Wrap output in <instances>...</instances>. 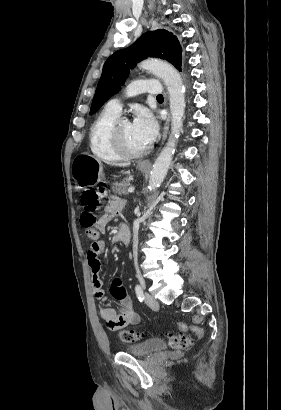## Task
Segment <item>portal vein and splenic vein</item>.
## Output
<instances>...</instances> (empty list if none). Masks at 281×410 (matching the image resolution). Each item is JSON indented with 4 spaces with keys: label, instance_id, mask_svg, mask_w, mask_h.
Returning a JSON list of instances; mask_svg holds the SVG:
<instances>
[{
    "label": "portal vein and splenic vein",
    "instance_id": "obj_1",
    "mask_svg": "<svg viewBox=\"0 0 281 410\" xmlns=\"http://www.w3.org/2000/svg\"><path fill=\"white\" fill-rule=\"evenodd\" d=\"M134 190H135V188L133 186H131V187L128 188L127 192L128 193H133Z\"/></svg>",
    "mask_w": 281,
    "mask_h": 410
}]
</instances>
